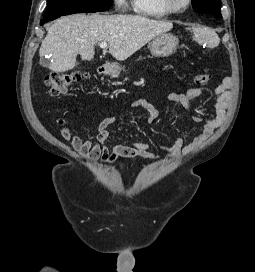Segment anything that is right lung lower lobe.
<instances>
[{
  "instance_id": "98d812e1",
  "label": "right lung lower lobe",
  "mask_w": 255,
  "mask_h": 272,
  "mask_svg": "<svg viewBox=\"0 0 255 272\" xmlns=\"http://www.w3.org/2000/svg\"><path fill=\"white\" fill-rule=\"evenodd\" d=\"M60 16H52V17H44L43 20H41L40 24L43 25L44 23L48 22V21H52L56 18H59Z\"/></svg>"
}]
</instances>
